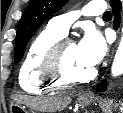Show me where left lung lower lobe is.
Returning a JSON list of instances; mask_svg holds the SVG:
<instances>
[{"label":"left lung lower lobe","instance_id":"left-lung-lower-lobe-1","mask_svg":"<svg viewBox=\"0 0 123 113\" xmlns=\"http://www.w3.org/2000/svg\"><path fill=\"white\" fill-rule=\"evenodd\" d=\"M110 5L112 6V12H113V15L115 16L114 28L117 29L119 26V21H120L121 2H120V0H110ZM96 90L98 92L105 91L106 90V81L103 80L102 82H100L97 85Z\"/></svg>","mask_w":123,"mask_h":113}]
</instances>
